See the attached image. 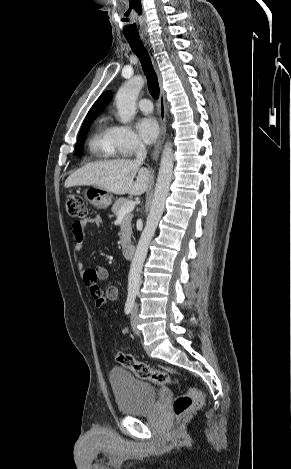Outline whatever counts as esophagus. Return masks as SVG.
<instances>
[{
    "label": "esophagus",
    "mask_w": 291,
    "mask_h": 469,
    "mask_svg": "<svg viewBox=\"0 0 291 469\" xmlns=\"http://www.w3.org/2000/svg\"><path fill=\"white\" fill-rule=\"evenodd\" d=\"M145 45L150 49V43L147 39H144ZM153 64L155 71L158 76V81H159V87H160V95H159V102H158V107H159V120H160V135L157 140V142L154 145L153 151H152V160L156 161L159 157L160 150L162 148V144L165 139L166 135V100H165V91L162 85V76L160 74V71L158 69V66L152 57Z\"/></svg>",
    "instance_id": "34e87169"
}]
</instances>
